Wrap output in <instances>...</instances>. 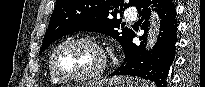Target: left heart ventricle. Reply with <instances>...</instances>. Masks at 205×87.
Masks as SVG:
<instances>
[{"instance_id": "left-heart-ventricle-1", "label": "left heart ventricle", "mask_w": 205, "mask_h": 87, "mask_svg": "<svg viewBox=\"0 0 205 87\" xmlns=\"http://www.w3.org/2000/svg\"><path fill=\"white\" fill-rule=\"evenodd\" d=\"M101 62L97 49L86 43H72L63 47L56 56L57 70L68 76L95 71Z\"/></svg>"}]
</instances>
